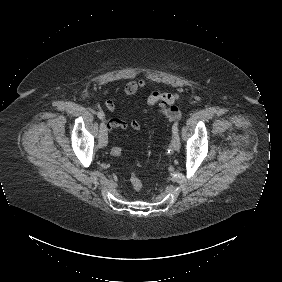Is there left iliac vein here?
<instances>
[{"instance_id": "4c4485c4", "label": "left iliac vein", "mask_w": 282, "mask_h": 282, "mask_svg": "<svg viewBox=\"0 0 282 282\" xmlns=\"http://www.w3.org/2000/svg\"><path fill=\"white\" fill-rule=\"evenodd\" d=\"M172 146H173V149H174L175 151H178V150L180 149L181 143H180L179 134L173 135V138H172Z\"/></svg>"}]
</instances>
